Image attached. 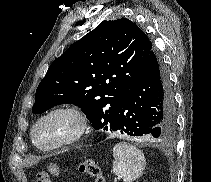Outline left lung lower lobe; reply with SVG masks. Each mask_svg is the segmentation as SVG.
<instances>
[{
    "label": "left lung lower lobe",
    "mask_w": 211,
    "mask_h": 182,
    "mask_svg": "<svg viewBox=\"0 0 211 182\" xmlns=\"http://www.w3.org/2000/svg\"><path fill=\"white\" fill-rule=\"evenodd\" d=\"M175 119L169 76L161 57L152 50L138 79L119 106L113 131L152 140L171 133Z\"/></svg>",
    "instance_id": "left-lung-lower-lobe-1"
}]
</instances>
